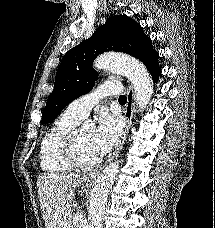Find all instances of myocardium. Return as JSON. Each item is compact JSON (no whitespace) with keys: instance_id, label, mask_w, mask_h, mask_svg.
<instances>
[{"instance_id":"f54148a6","label":"myocardium","mask_w":215,"mask_h":228,"mask_svg":"<svg viewBox=\"0 0 215 228\" xmlns=\"http://www.w3.org/2000/svg\"><path fill=\"white\" fill-rule=\"evenodd\" d=\"M80 129L81 127H75L63 137L59 144V152L66 163L72 168L81 170L97 168L102 162L101 157L92 162H84L77 154V140Z\"/></svg>"}]
</instances>
